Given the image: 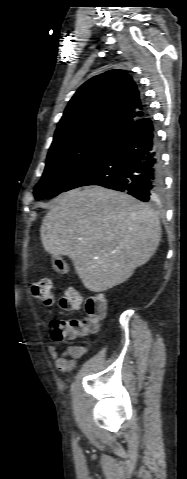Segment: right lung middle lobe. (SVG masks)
Instances as JSON below:
<instances>
[{"instance_id": "dd1d6c3e", "label": "right lung middle lobe", "mask_w": 187, "mask_h": 479, "mask_svg": "<svg viewBox=\"0 0 187 479\" xmlns=\"http://www.w3.org/2000/svg\"><path fill=\"white\" fill-rule=\"evenodd\" d=\"M123 130L108 125H90L54 136L46 167L34 188L37 200L63 192L70 181L99 157Z\"/></svg>"}]
</instances>
